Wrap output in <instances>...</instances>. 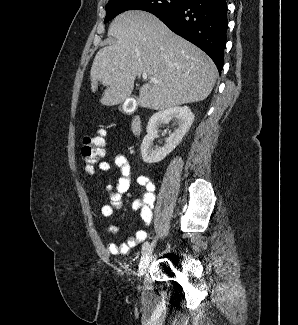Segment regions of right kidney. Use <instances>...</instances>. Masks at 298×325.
<instances>
[{
    "instance_id": "obj_1",
    "label": "right kidney",
    "mask_w": 298,
    "mask_h": 325,
    "mask_svg": "<svg viewBox=\"0 0 298 325\" xmlns=\"http://www.w3.org/2000/svg\"><path fill=\"white\" fill-rule=\"evenodd\" d=\"M173 118H177L178 120L177 128L166 138V144L164 146H156V148H153V140L158 136L159 126L161 124H168ZM193 120L194 114L191 112L189 106H173V108H164V110L154 112L148 120L146 126L147 134H145L140 146L144 163H159V160H163L181 142Z\"/></svg>"
}]
</instances>
